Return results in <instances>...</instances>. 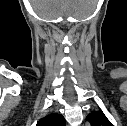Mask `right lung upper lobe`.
<instances>
[{"label":"right lung upper lobe","instance_id":"right-lung-upper-lobe-1","mask_svg":"<svg viewBox=\"0 0 127 126\" xmlns=\"http://www.w3.org/2000/svg\"><path fill=\"white\" fill-rule=\"evenodd\" d=\"M36 126H65V119L61 114H51L40 119Z\"/></svg>","mask_w":127,"mask_h":126}]
</instances>
